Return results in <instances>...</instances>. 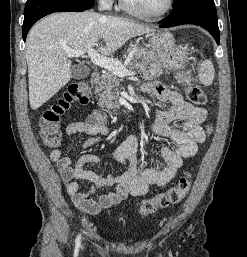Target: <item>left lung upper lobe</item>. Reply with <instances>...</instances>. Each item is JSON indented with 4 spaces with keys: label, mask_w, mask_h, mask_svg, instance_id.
I'll return each instance as SVG.
<instances>
[{
    "label": "left lung upper lobe",
    "mask_w": 247,
    "mask_h": 257,
    "mask_svg": "<svg viewBox=\"0 0 247 257\" xmlns=\"http://www.w3.org/2000/svg\"><path fill=\"white\" fill-rule=\"evenodd\" d=\"M185 1L186 0H173L174 6L179 5V4H181V3L185 2Z\"/></svg>",
    "instance_id": "5c2ea615"
}]
</instances>
